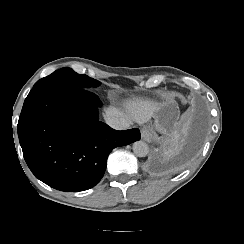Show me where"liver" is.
<instances>
[{"instance_id":"obj_1","label":"liver","mask_w":244,"mask_h":244,"mask_svg":"<svg viewBox=\"0 0 244 244\" xmlns=\"http://www.w3.org/2000/svg\"><path fill=\"white\" fill-rule=\"evenodd\" d=\"M129 110L137 122L146 124L155 116L157 108L148 101L134 100L130 102ZM107 115L125 118L122 112L112 108L107 112Z\"/></svg>"}]
</instances>
